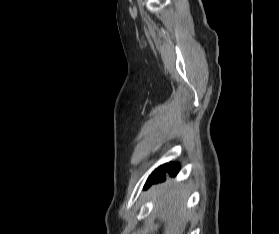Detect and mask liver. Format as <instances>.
<instances>
[{
    "label": "liver",
    "instance_id": "6515ba94",
    "mask_svg": "<svg viewBox=\"0 0 279 234\" xmlns=\"http://www.w3.org/2000/svg\"><path fill=\"white\" fill-rule=\"evenodd\" d=\"M154 190L158 200L159 217L164 223L163 234H183L187 216L179 189L166 183L155 187Z\"/></svg>",
    "mask_w": 279,
    "mask_h": 234
}]
</instances>
